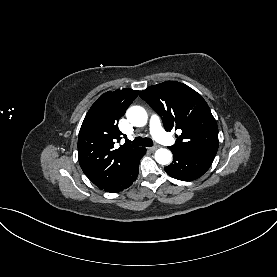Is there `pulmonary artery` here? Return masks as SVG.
Listing matches in <instances>:
<instances>
[{"label": "pulmonary artery", "mask_w": 277, "mask_h": 277, "mask_svg": "<svg viewBox=\"0 0 277 277\" xmlns=\"http://www.w3.org/2000/svg\"><path fill=\"white\" fill-rule=\"evenodd\" d=\"M149 128L153 137L159 142L164 144L173 143V139L165 133L157 116H152L150 118Z\"/></svg>", "instance_id": "pulmonary-artery-1"}]
</instances>
